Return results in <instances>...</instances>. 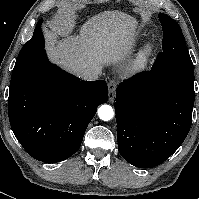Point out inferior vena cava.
Here are the masks:
<instances>
[{
    "instance_id": "obj_1",
    "label": "inferior vena cava",
    "mask_w": 199,
    "mask_h": 199,
    "mask_svg": "<svg viewBox=\"0 0 199 199\" xmlns=\"http://www.w3.org/2000/svg\"><path fill=\"white\" fill-rule=\"evenodd\" d=\"M102 69L101 67L95 66V67H88L81 69L79 71V77L83 80L93 81L97 80L99 75H101Z\"/></svg>"
}]
</instances>
